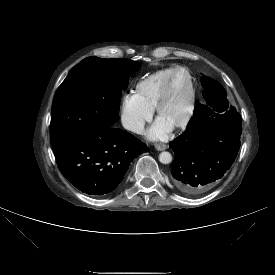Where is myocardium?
<instances>
[{
    "label": "myocardium",
    "mask_w": 275,
    "mask_h": 275,
    "mask_svg": "<svg viewBox=\"0 0 275 275\" xmlns=\"http://www.w3.org/2000/svg\"><path fill=\"white\" fill-rule=\"evenodd\" d=\"M178 71H183L187 75L188 83H189V97H188L186 111H185L183 118L170 126L171 129H173V130L181 129V128H184L185 126H187L193 116V113H194L195 102H196V89H195L193 77H192L190 71L186 67L177 66V67L173 68L163 90L161 91V93L157 99L156 105L154 107L156 117L159 119L161 116L163 107L166 104V102L170 96L172 86H173L174 75Z\"/></svg>",
    "instance_id": "f54148a6"
}]
</instances>
